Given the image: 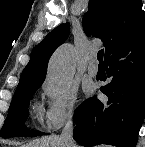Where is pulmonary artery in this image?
Masks as SVG:
<instances>
[{"mask_svg":"<svg viewBox=\"0 0 145 147\" xmlns=\"http://www.w3.org/2000/svg\"><path fill=\"white\" fill-rule=\"evenodd\" d=\"M97 58L96 56H91L89 59V65L87 67V72L90 76L94 77L98 74V66H97Z\"/></svg>","mask_w":145,"mask_h":147,"instance_id":"obj_1","label":"pulmonary artery"}]
</instances>
